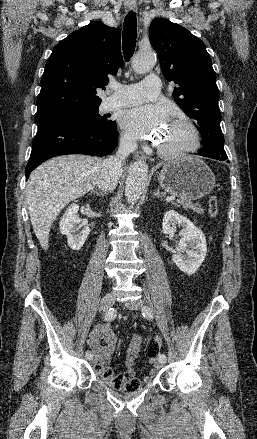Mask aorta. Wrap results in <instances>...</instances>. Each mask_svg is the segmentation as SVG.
Masks as SVG:
<instances>
[{
  "mask_svg": "<svg viewBox=\"0 0 257 439\" xmlns=\"http://www.w3.org/2000/svg\"><path fill=\"white\" fill-rule=\"evenodd\" d=\"M156 63V55L153 51L140 52L132 62V67L137 73L149 72ZM148 166L145 161L139 160L134 162L129 168L125 196L130 204L137 202L145 188L147 180Z\"/></svg>",
  "mask_w": 257,
  "mask_h": 439,
  "instance_id": "1",
  "label": "aorta"
}]
</instances>
